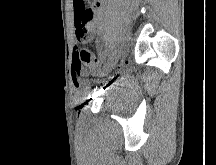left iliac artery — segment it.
Here are the masks:
<instances>
[{"label": "left iliac artery", "instance_id": "obj_1", "mask_svg": "<svg viewBox=\"0 0 216 165\" xmlns=\"http://www.w3.org/2000/svg\"><path fill=\"white\" fill-rule=\"evenodd\" d=\"M106 56H107V53L106 52H103L102 54H101V59H100V63L103 65L104 63H105V58H106ZM101 72L104 70L102 67L99 69Z\"/></svg>", "mask_w": 216, "mask_h": 165}]
</instances>
